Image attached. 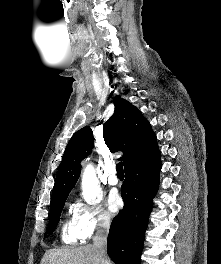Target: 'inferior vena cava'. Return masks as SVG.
I'll return each instance as SVG.
<instances>
[{
  "label": "inferior vena cava",
  "mask_w": 221,
  "mask_h": 264,
  "mask_svg": "<svg viewBox=\"0 0 221 264\" xmlns=\"http://www.w3.org/2000/svg\"><path fill=\"white\" fill-rule=\"evenodd\" d=\"M109 226H110V222L107 219L100 222L99 228L96 231V235L93 237V246L95 248V252L99 264H110L106 252Z\"/></svg>",
  "instance_id": "obj_1"
}]
</instances>
